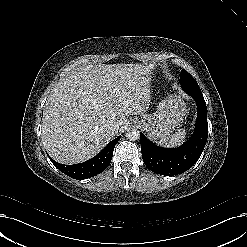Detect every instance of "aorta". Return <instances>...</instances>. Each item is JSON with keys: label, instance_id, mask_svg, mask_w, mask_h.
<instances>
[{"label": "aorta", "instance_id": "1", "mask_svg": "<svg viewBox=\"0 0 247 247\" xmlns=\"http://www.w3.org/2000/svg\"><path fill=\"white\" fill-rule=\"evenodd\" d=\"M125 136L128 140L135 141L139 139L140 133L139 130L136 128H129L126 131Z\"/></svg>", "mask_w": 247, "mask_h": 247}]
</instances>
